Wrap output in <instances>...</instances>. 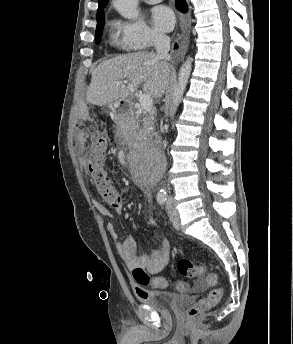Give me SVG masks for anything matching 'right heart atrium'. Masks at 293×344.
I'll use <instances>...</instances> for the list:
<instances>
[{
  "label": "right heart atrium",
  "instance_id": "d8ad5b80",
  "mask_svg": "<svg viewBox=\"0 0 293 344\" xmlns=\"http://www.w3.org/2000/svg\"><path fill=\"white\" fill-rule=\"evenodd\" d=\"M114 28L118 33L120 46L127 51L145 50L165 39L162 33L150 28L139 18L118 19L114 21Z\"/></svg>",
  "mask_w": 293,
  "mask_h": 344
}]
</instances>
